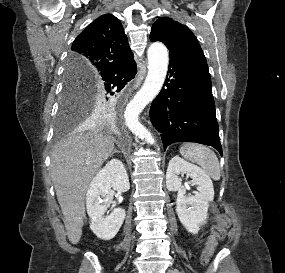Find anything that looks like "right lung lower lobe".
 Wrapping results in <instances>:
<instances>
[{"instance_id": "1", "label": "right lung lower lobe", "mask_w": 285, "mask_h": 273, "mask_svg": "<svg viewBox=\"0 0 285 273\" xmlns=\"http://www.w3.org/2000/svg\"><path fill=\"white\" fill-rule=\"evenodd\" d=\"M137 73L134 59L113 67L100 71L92 78H88V83L95 89L103 92L108 96L116 95L120 92L127 82L134 78ZM114 104L101 108L103 115L109 116L113 112Z\"/></svg>"}]
</instances>
